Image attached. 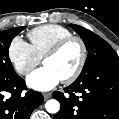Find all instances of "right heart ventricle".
I'll use <instances>...</instances> for the list:
<instances>
[{"label":"right heart ventricle","instance_id":"1","mask_svg":"<svg viewBox=\"0 0 119 119\" xmlns=\"http://www.w3.org/2000/svg\"><path fill=\"white\" fill-rule=\"evenodd\" d=\"M72 35L69 29L61 25L46 24L32 29L28 38L35 54L42 59L55 44Z\"/></svg>","mask_w":119,"mask_h":119}]
</instances>
